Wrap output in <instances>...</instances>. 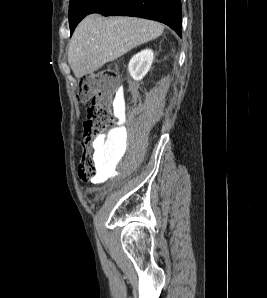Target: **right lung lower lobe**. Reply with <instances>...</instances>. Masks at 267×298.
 Masks as SVG:
<instances>
[{
	"mask_svg": "<svg viewBox=\"0 0 267 298\" xmlns=\"http://www.w3.org/2000/svg\"><path fill=\"white\" fill-rule=\"evenodd\" d=\"M90 13L156 20L168 25L181 36V0H100Z\"/></svg>",
	"mask_w": 267,
	"mask_h": 298,
	"instance_id": "right-lung-lower-lobe-1",
	"label": "right lung lower lobe"
}]
</instances>
